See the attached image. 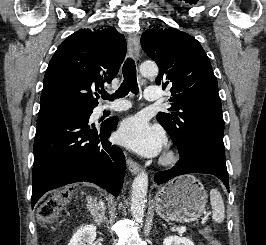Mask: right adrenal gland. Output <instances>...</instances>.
<instances>
[{"mask_svg": "<svg viewBox=\"0 0 266 245\" xmlns=\"http://www.w3.org/2000/svg\"><path fill=\"white\" fill-rule=\"evenodd\" d=\"M88 203V211L90 215H92V219H94V223L96 225H101V223H107V217H105L104 213L99 215L97 201L98 199H92V197H86Z\"/></svg>", "mask_w": 266, "mask_h": 245, "instance_id": "obj_1", "label": "right adrenal gland"}]
</instances>
